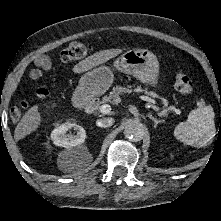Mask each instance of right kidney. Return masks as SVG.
<instances>
[{"mask_svg": "<svg viewBox=\"0 0 221 221\" xmlns=\"http://www.w3.org/2000/svg\"><path fill=\"white\" fill-rule=\"evenodd\" d=\"M71 129L77 131V133L75 135L67 133ZM85 138V130L81 126L69 122L57 126L51 133L53 143L65 148L80 145L85 141Z\"/></svg>", "mask_w": 221, "mask_h": 221, "instance_id": "ca27d5eb", "label": "right kidney"}]
</instances>
